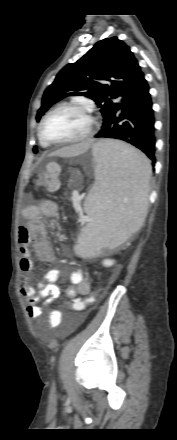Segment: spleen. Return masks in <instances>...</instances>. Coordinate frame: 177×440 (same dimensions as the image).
Listing matches in <instances>:
<instances>
[{"label": "spleen", "mask_w": 177, "mask_h": 440, "mask_svg": "<svg viewBox=\"0 0 177 440\" xmlns=\"http://www.w3.org/2000/svg\"><path fill=\"white\" fill-rule=\"evenodd\" d=\"M95 183L84 203L91 222L78 235L75 253L93 257L138 231L146 217L151 165L125 143L103 140L93 149Z\"/></svg>", "instance_id": "3e777b00"}]
</instances>
